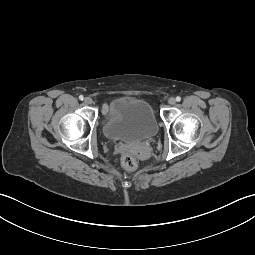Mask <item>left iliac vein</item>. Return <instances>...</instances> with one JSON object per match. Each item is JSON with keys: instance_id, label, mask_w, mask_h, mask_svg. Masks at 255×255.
<instances>
[{"instance_id": "obj_1", "label": "left iliac vein", "mask_w": 255, "mask_h": 255, "mask_svg": "<svg viewBox=\"0 0 255 255\" xmlns=\"http://www.w3.org/2000/svg\"><path fill=\"white\" fill-rule=\"evenodd\" d=\"M168 103L170 105H174L176 103V99L174 97L169 98Z\"/></svg>"}]
</instances>
